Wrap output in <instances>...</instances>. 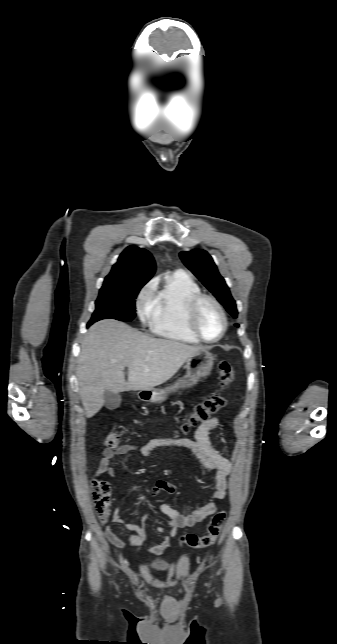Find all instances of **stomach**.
<instances>
[{
  "instance_id": "1",
  "label": "stomach",
  "mask_w": 337,
  "mask_h": 644,
  "mask_svg": "<svg viewBox=\"0 0 337 644\" xmlns=\"http://www.w3.org/2000/svg\"><path fill=\"white\" fill-rule=\"evenodd\" d=\"M214 357L206 348L199 350L193 356L186 360V374L183 378L178 379L174 384L159 390H144L140 393V398L152 403H161L165 401L168 395L177 393L182 394L193 388L201 381L202 378L209 376ZM143 394V395H142Z\"/></svg>"
}]
</instances>
